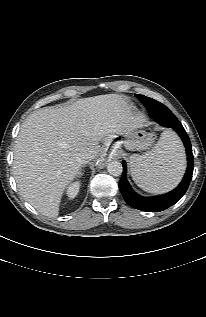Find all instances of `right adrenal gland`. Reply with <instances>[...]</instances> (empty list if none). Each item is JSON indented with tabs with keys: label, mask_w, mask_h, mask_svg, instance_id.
<instances>
[{
	"label": "right adrenal gland",
	"mask_w": 206,
	"mask_h": 317,
	"mask_svg": "<svg viewBox=\"0 0 206 317\" xmlns=\"http://www.w3.org/2000/svg\"><path fill=\"white\" fill-rule=\"evenodd\" d=\"M84 166H82L81 168H80V170H79V172H78V175H77V177L78 178H80L82 175H83V173H82V168H83Z\"/></svg>",
	"instance_id": "obj_1"
}]
</instances>
